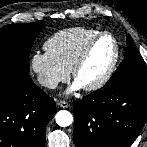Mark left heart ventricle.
Listing matches in <instances>:
<instances>
[{
	"instance_id": "left-heart-ventricle-1",
	"label": "left heart ventricle",
	"mask_w": 147,
	"mask_h": 147,
	"mask_svg": "<svg viewBox=\"0 0 147 147\" xmlns=\"http://www.w3.org/2000/svg\"><path fill=\"white\" fill-rule=\"evenodd\" d=\"M114 55V43L110 37H103L92 48L86 62L77 74L76 81L82 86L97 81L108 69Z\"/></svg>"
}]
</instances>
